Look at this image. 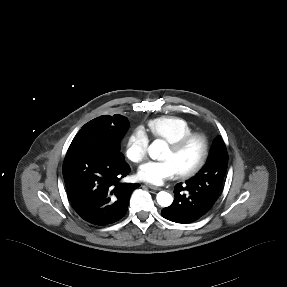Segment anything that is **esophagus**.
<instances>
[{
  "mask_svg": "<svg viewBox=\"0 0 287 287\" xmlns=\"http://www.w3.org/2000/svg\"><path fill=\"white\" fill-rule=\"evenodd\" d=\"M147 186H148L150 189L155 190V191H159V190H161V188H160V187H157V186L152 185V184H147Z\"/></svg>",
  "mask_w": 287,
  "mask_h": 287,
  "instance_id": "34e87169",
  "label": "esophagus"
}]
</instances>
